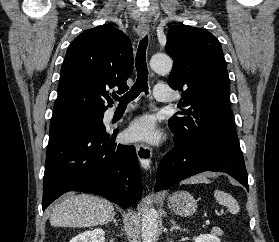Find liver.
<instances>
[{"label": "liver", "instance_id": "6515ba94", "mask_svg": "<svg viewBox=\"0 0 279 242\" xmlns=\"http://www.w3.org/2000/svg\"><path fill=\"white\" fill-rule=\"evenodd\" d=\"M207 182L203 176L187 183ZM114 213V206L105 199L89 195L67 193L53 207L50 224L54 227H90L104 224Z\"/></svg>", "mask_w": 279, "mask_h": 242}]
</instances>
